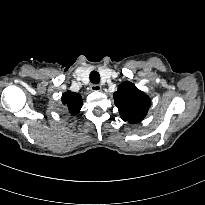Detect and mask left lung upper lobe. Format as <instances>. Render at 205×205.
Segmentation results:
<instances>
[{"label":"left lung upper lobe","mask_w":205,"mask_h":205,"mask_svg":"<svg viewBox=\"0 0 205 205\" xmlns=\"http://www.w3.org/2000/svg\"><path fill=\"white\" fill-rule=\"evenodd\" d=\"M113 98L121 119L130 124L142 121L150 107V98L128 81L119 85L117 92L113 94Z\"/></svg>","instance_id":"1"}]
</instances>
